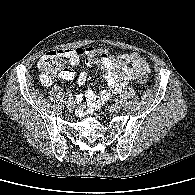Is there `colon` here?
<instances>
[{"label":"colon","mask_w":195,"mask_h":195,"mask_svg":"<svg viewBox=\"0 0 195 195\" xmlns=\"http://www.w3.org/2000/svg\"><path fill=\"white\" fill-rule=\"evenodd\" d=\"M38 67L41 71V80L45 84H50L56 76H59L66 70L65 57L58 51H51L45 54L40 60ZM140 84L147 83V77L145 75L140 76Z\"/></svg>","instance_id":"obj_1"}]
</instances>
